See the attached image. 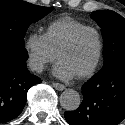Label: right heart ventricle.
Wrapping results in <instances>:
<instances>
[{
	"instance_id": "1",
	"label": "right heart ventricle",
	"mask_w": 125,
	"mask_h": 125,
	"mask_svg": "<svg viewBox=\"0 0 125 125\" xmlns=\"http://www.w3.org/2000/svg\"><path fill=\"white\" fill-rule=\"evenodd\" d=\"M87 25L71 17L59 18L51 22L45 31L49 47L57 53L64 42L77 30Z\"/></svg>"
}]
</instances>
